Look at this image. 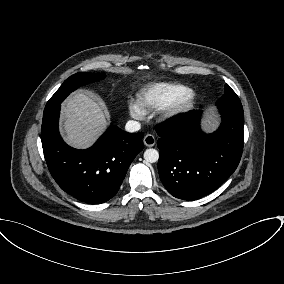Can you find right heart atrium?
Returning a JSON list of instances; mask_svg holds the SVG:
<instances>
[{
	"mask_svg": "<svg viewBox=\"0 0 284 284\" xmlns=\"http://www.w3.org/2000/svg\"><path fill=\"white\" fill-rule=\"evenodd\" d=\"M128 111L132 118L134 119H141L144 115V111L139 106L137 102L130 101L128 104Z\"/></svg>",
	"mask_w": 284,
	"mask_h": 284,
	"instance_id": "right-heart-atrium-1",
	"label": "right heart atrium"
}]
</instances>
